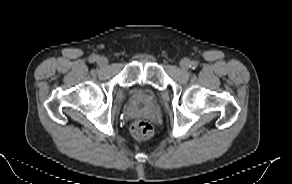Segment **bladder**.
Instances as JSON below:
<instances>
[{"label":"bladder","mask_w":292,"mask_h":184,"mask_svg":"<svg viewBox=\"0 0 292 184\" xmlns=\"http://www.w3.org/2000/svg\"><path fill=\"white\" fill-rule=\"evenodd\" d=\"M141 95H143L145 97H150V96H152V93H150V92H141Z\"/></svg>","instance_id":"bladder-1"}]
</instances>
